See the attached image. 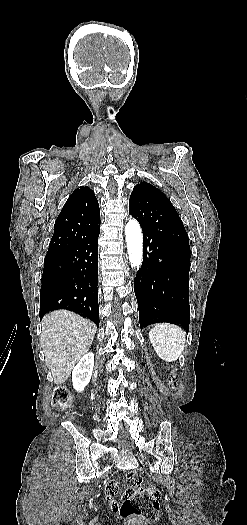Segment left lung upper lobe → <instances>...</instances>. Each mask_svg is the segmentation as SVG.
Wrapping results in <instances>:
<instances>
[{
  "label": "left lung upper lobe",
  "instance_id": "obj_1",
  "mask_svg": "<svg viewBox=\"0 0 247 525\" xmlns=\"http://www.w3.org/2000/svg\"><path fill=\"white\" fill-rule=\"evenodd\" d=\"M129 213L141 227L160 231L190 252L188 235L177 211L153 185L142 181L134 186L129 199Z\"/></svg>",
  "mask_w": 247,
  "mask_h": 525
}]
</instances>
